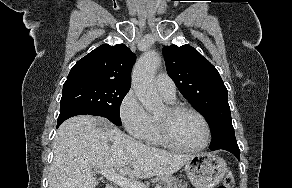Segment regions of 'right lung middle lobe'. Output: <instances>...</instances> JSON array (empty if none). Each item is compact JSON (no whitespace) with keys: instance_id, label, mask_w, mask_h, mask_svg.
Returning <instances> with one entry per match:
<instances>
[{"instance_id":"dd1d6c3e","label":"right lung middle lobe","mask_w":292,"mask_h":188,"mask_svg":"<svg viewBox=\"0 0 292 188\" xmlns=\"http://www.w3.org/2000/svg\"><path fill=\"white\" fill-rule=\"evenodd\" d=\"M129 89L94 80L66 81L60 101V112L80 110L89 115L105 117L115 125L121 126L120 105Z\"/></svg>"}]
</instances>
